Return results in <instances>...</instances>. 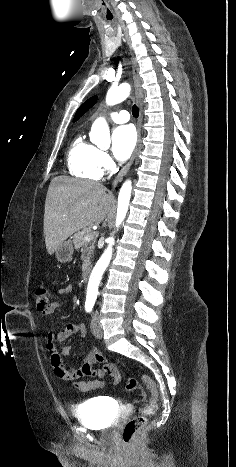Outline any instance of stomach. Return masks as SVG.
I'll list each match as a JSON object with an SVG mask.
<instances>
[{
  "label": "stomach",
  "mask_w": 236,
  "mask_h": 467,
  "mask_svg": "<svg viewBox=\"0 0 236 467\" xmlns=\"http://www.w3.org/2000/svg\"><path fill=\"white\" fill-rule=\"evenodd\" d=\"M74 248L70 240L61 243L55 251L57 260L61 263L69 262L72 259Z\"/></svg>",
  "instance_id": "0dacf381"
}]
</instances>
